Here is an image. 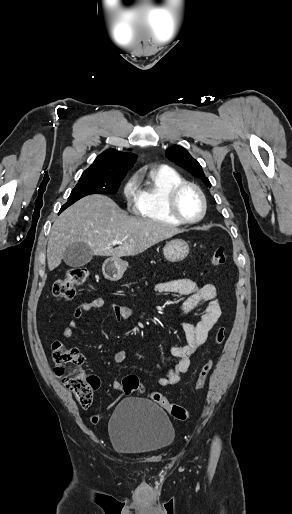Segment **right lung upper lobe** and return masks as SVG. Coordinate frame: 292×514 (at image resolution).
Wrapping results in <instances>:
<instances>
[{"mask_svg": "<svg viewBox=\"0 0 292 514\" xmlns=\"http://www.w3.org/2000/svg\"><path fill=\"white\" fill-rule=\"evenodd\" d=\"M135 154L109 149L100 154L82 176L101 178H124L136 161Z\"/></svg>", "mask_w": 292, "mask_h": 514, "instance_id": "cb5924a9", "label": "right lung upper lobe"}]
</instances>
